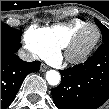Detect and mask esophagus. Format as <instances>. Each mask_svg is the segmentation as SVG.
I'll use <instances>...</instances> for the list:
<instances>
[{
	"label": "esophagus",
	"mask_w": 109,
	"mask_h": 109,
	"mask_svg": "<svg viewBox=\"0 0 109 109\" xmlns=\"http://www.w3.org/2000/svg\"><path fill=\"white\" fill-rule=\"evenodd\" d=\"M48 69H49L48 66H46L45 64H42L41 67H40V71H41V72H45V71H47Z\"/></svg>",
	"instance_id": "obj_1"
}]
</instances>
